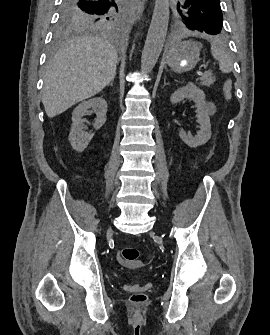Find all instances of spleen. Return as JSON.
<instances>
[{"mask_svg":"<svg viewBox=\"0 0 270 335\" xmlns=\"http://www.w3.org/2000/svg\"><path fill=\"white\" fill-rule=\"evenodd\" d=\"M211 42V54L214 60H218L219 70L223 74H229L233 70V62H231L230 54L225 48V44L220 42L218 36L212 38Z\"/></svg>","mask_w":270,"mask_h":335,"instance_id":"obj_1","label":"spleen"}]
</instances>
